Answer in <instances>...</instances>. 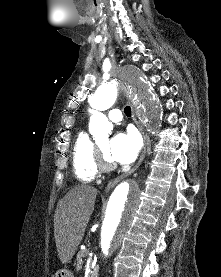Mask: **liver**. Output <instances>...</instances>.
Instances as JSON below:
<instances>
[{
  "label": "liver",
  "instance_id": "obj_1",
  "mask_svg": "<svg viewBox=\"0 0 221 277\" xmlns=\"http://www.w3.org/2000/svg\"><path fill=\"white\" fill-rule=\"evenodd\" d=\"M97 189L78 185L59 201L54 215V238L60 261L72 259L93 213Z\"/></svg>",
  "mask_w": 221,
  "mask_h": 277
}]
</instances>
